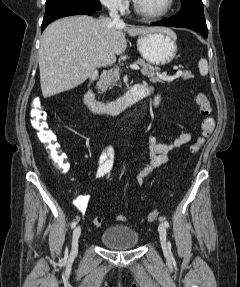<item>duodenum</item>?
Wrapping results in <instances>:
<instances>
[{"instance_id":"duodenum-1","label":"duodenum","mask_w":240,"mask_h":287,"mask_svg":"<svg viewBox=\"0 0 240 287\" xmlns=\"http://www.w3.org/2000/svg\"><path fill=\"white\" fill-rule=\"evenodd\" d=\"M145 97H147V93L144 90L143 85L137 83L120 97L107 101L97 100L94 94L87 89L84 94V103L94 113L118 114L130 105L142 100Z\"/></svg>"}]
</instances>
